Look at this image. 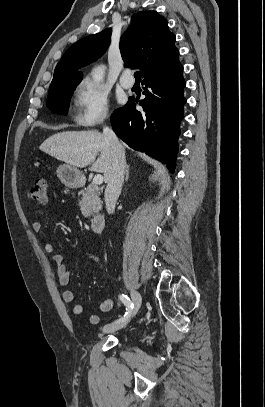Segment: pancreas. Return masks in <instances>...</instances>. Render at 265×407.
I'll list each match as a JSON object with an SVG mask.
<instances>
[{
	"instance_id": "cf45deb5",
	"label": "pancreas",
	"mask_w": 265,
	"mask_h": 407,
	"mask_svg": "<svg viewBox=\"0 0 265 407\" xmlns=\"http://www.w3.org/2000/svg\"><path fill=\"white\" fill-rule=\"evenodd\" d=\"M79 206L85 217L90 216L94 211L101 210L102 202L99 188L96 184L91 183L82 191V199L79 202Z\"/></svg>"
}]
</instances>
